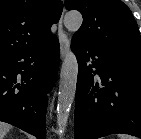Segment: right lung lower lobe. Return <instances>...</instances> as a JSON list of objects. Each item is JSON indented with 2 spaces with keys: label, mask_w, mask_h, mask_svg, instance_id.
I'll return each instance as SVG.
<instances>
[{
  "label": "right lung lower lobe",
  "mask_w": 141,
  "mask_h": 139,
  "mask_svg": "<svg viewBox=\"0 0 141 139\" xmlns=\"http://www.w3.org/2000/svg\"><path fill=\"white\" fill-rule=\"evenodd\" d=\"M58 38L0 57V121L46 139V93L56 80Z\"/></svg>",
  "instance_id": "98d812e1"
}]
</instances>
